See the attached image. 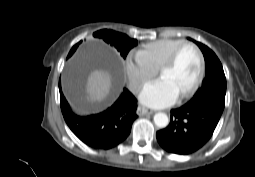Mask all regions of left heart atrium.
<instances>
[{
    "instance_id": "left-heart-atrium-1",
    "label": "left heart atrium",
    "mask_w": 255,
    "mask_h": 177,
    "mask_svg": "<svg viewBox=\"0 0 255 177\" xmlns=\"http://www.w3.org/2000/svg\"><path fill=\"white\" fill-rule=\"evenodd\" d=\"M180 93L165 78H159L146 84L139 94V100L151 108H164L174 104Z\"/></svg>"
}]
</instances>
